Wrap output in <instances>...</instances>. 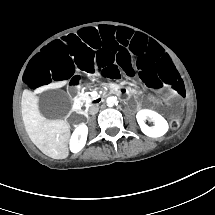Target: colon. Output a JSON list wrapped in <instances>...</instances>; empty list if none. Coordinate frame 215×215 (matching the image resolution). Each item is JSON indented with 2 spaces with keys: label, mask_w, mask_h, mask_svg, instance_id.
I'll return each instance as SVG.
<instances>
[{
  "label": "colon",
  "mask_w": 215,
  "mask_h": 215,
  "mask_svg": "<svg viewBox=\"0 0 215 215\" xmlns=\"http://www.w3.org/2000/svg\"><path fill=\"white\" fill-rule=\"evenodd\" d=\"M170 126H171V128H173V129L179 128V126H180V119H178V118H173V119L171 120V122H170Z\"/></svg>",
  "instance_id": "obj_1"
}]
</instances>
